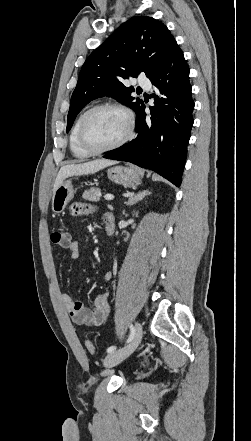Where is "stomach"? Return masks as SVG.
<instances>
[{
  "mask_svg": "<svg viewBox=\"0 0 251 441\" xmlns=\"http://www.w3.org/2000/svg\"><path fill=\"white\" fill-rule=\"evenodd\" d=\"M108 178L124 187L134 188L140 184L138 172L132 167L115 166L107 171ZM74 189L71 180H64L53 192L52 211L56 214L61 213L74 197Z\"/></svg>",
  "mask_w": 251,
  "mask_h": 441,
  "instance_id": "0dacf381",
  "label": "stomach"
}]
</instances>
